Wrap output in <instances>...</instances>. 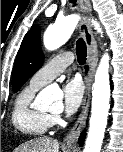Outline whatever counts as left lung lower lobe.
Returning <instances> with one entry per match:
<instances>
[{"instance_id":"obj_1","label":"left lung lower lobe","mask_w":123,"mask_h":152,"mask_svg":"<svg viewBox=\"0 0 123 152\" xmlns=\"http://www.w3.org/2000/svg\"><path fill=\"white\" fill-rule=\"evenodd\" d=\"M83 140H84V134H82L81 137L79 138V143H80V145L83 144Z\"/></svg>"}]
</instances>
